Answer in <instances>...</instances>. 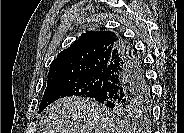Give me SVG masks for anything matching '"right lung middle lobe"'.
Returning a JSON list of instances; mask_svg holds the SVG:
<instances>
[{
	"mask_svg": "<svg viewBox=\"0 0 184 133\" xmlns=\"http://www.w3.org/2000/svg\"><path fill=\"white\" fill-rule=\"evenodd\" d=\"M103 73H96L78 77L56 79L47 84L39 113L52 102L67 96H82L94 98L102 86ZM106 110L115 115L128 117H144L151 108L150 94L139 103L131 105H104Z\"/></svg>",
	"mask_w": 184,
	"mask_h": 133,
	"instance_id": "1",
	"label": "right lung middle lobe"
}]
</instances>
